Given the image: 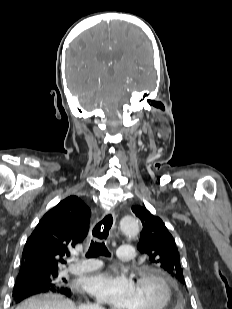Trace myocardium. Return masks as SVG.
Returning <instances> with one entry per match:
<instances>
[{"label": "myocardium", "instance_id": "obj_1", "mask_svg": "<svg viewBox=\"0 0 232 309\" xmlns=\"http://www.w3.org/2000/svg\"><path fill=\"white\" fill-rule=\"evenodd\" d=\"M150 280L157 283L163 291L162 304L157 309H169L173 302V291L169 280L159 271L144 269L137 273L136 282Z\"/></svg>", "mask_w": 232, "mask_h": 309}]
</instances>
